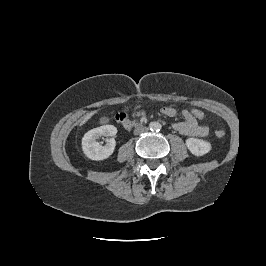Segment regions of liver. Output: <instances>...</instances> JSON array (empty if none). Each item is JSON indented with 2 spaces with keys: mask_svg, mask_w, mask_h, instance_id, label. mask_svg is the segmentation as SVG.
<instances>
[{
  "mask_svg": "<svg viewBox=\"0 0 266 266\" xmlns=\"http://www.w3.org/2000/svg\"><path fill=\"white\" fill-rule=\"evenodd\" d=\"M95 113H97V111H92V112L88 113L87 115H85V117L83 118V120L80 123V126L85 124Z\"/></svg>",
  "mask_w": 266,
  "mask_h": 266,
  "instance_id": "obj_1",
  "label": "liver"
}]
</instances>
